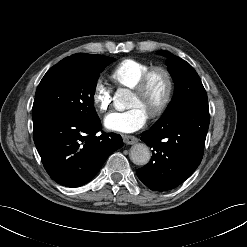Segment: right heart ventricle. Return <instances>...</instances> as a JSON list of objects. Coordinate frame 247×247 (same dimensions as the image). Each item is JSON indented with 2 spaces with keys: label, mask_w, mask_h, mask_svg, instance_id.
<instances>
[{
  "label": "right heart ventricle",
  "mask_w": 247,
  "mask_h": 247,
  "mask_svg": "<svg viewBox=\"0 0 247 247\" xmlns=\"http://www.w3.org/2000/svg\"><path fill=\"white\" fill-rule=\"evenodd\" d=\"M151 68L146 62L128 58L118 63L111 72V79L119 87L133 88L141 76Z\"/></svg>",
  "instance_id": "right-heart-ventricle-1"
}]
</instances>
